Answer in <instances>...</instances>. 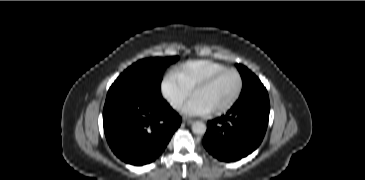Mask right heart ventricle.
<instances>
[{
	"label": "right heart ventricle",
	"mask_w": 365,
	"mask_h": 180,
	"mask_svg": "<svg viewBox=\"0 0 365 180\" xmlns=\"http://www.w3.org/2000/svg\"><path fill=\"white\" fill-rule=\"evenodd\" d=\"M226 68L225 64L215 61H194L183 66L178 75L182 85L191 93L199 84Z\"/></svg>",
	"instance_id": "right-heart-ventricle-1"
}]
</instances>
